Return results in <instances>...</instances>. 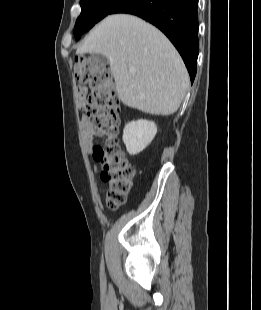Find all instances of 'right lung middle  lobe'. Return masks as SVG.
<instances>
[{
	"instance_id": "right-lung-middle-lobe-1",
	"label": "right lung middle lobe",
	"mask_w": 261,
	"mask_h": 310,
	"mask_svg": "<svg viewBox=\"0 0 261 310\" xmlns=\"http://www.w3.org/2000/svg\"><path fill=\"white\" fill-rule=\"evenodd\" d=\"M123 1L124 0H80L81 14L74 28L76 40H79L83 33L110 14L112 10Z\"/></svg>"
}]
</instances>
